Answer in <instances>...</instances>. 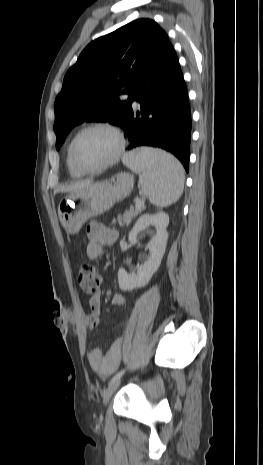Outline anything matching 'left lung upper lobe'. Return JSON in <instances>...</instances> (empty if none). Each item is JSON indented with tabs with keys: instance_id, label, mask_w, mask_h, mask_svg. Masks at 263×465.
Segmentation results:
<instances>
[{
	"instance_id": "obj_1",
	"label": "left lung upper lobe",
	"mask_w": 263,
	"mask_h": 465,
	"mask_svg": "<svg viewBox=\"0 0 263 465\" xmlns=\"http://www.w3.org/2000/svg\"><path fill=\"white\" fill-rule=\"evenodd\" d=\"M168 42L151 19L134 20L91 42L67 71L55 100L56 149L84 121L121 126L134 85ZM121 94H128V100H120Z\"/></svg>"
}]
</instances>
